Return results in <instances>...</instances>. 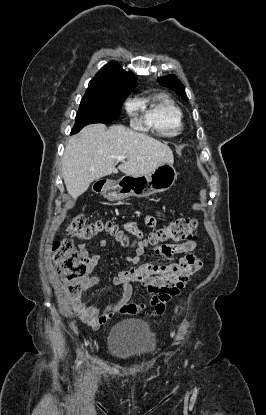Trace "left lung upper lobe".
<instances>
[{"label":"left lung upper lobe","instance_id":"5c2ea615","mask_svg":"<svg viewBox=\"0 0 266 415\" xmlns=\"http://www.w3.org/2000/svg\"><path fill=\"white\" fill-rule=\"evenodd\" d=\"M158 81L162 86L169 87L173 89L175 92H177L182 97L183 100L185 101L188 100L186 93H185V88L183 84L181 83V81L176 76L171 74L165 77H160Z\"/></svg>","mask_w":266,"mask_h":415}]
</instances>
